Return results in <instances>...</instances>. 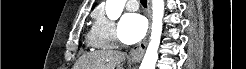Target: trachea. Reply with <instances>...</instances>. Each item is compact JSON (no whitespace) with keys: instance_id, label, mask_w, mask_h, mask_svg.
Wrapping results in <instances>:
<instances>
[{"instance_id":"obj_1","label":"trachea","mask_w":246,"mask_h":69,"mask_svg":"<svg viewBox=\"0 0 246 69\" xmlns=\"http://www.w3.org/2000/svg\"><path fill=\"white\" fill-rule=\"evenodd\" d=\"M141 4H142L143 6H146V5H147V0H141Z\"/></svg>"}]
</instances>
